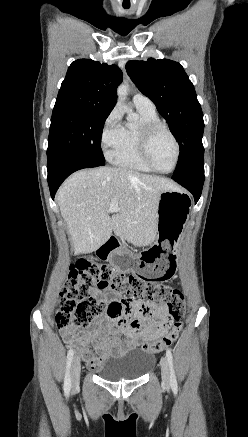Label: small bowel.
Listing matches in <instances>:
<instances>
[{
  "mask_svg": "<svg viewBox=\"0 0 248 437\" xmlns=\"http://www.w3.org/2000/svg\"><path fill=\"white\" fill-rule=\"evenodd\" d=\"M104 291L97 289L94 295L111 303L106 315L100 316L87 330L73 326L60 330L64 341L76 346L93 370L101 368L107 357L137 348L142 342L163 336L169 329L164 304L140 302L129 299L128 294ZM119 334H123L125 339L121 340Z\"/></svg>",
  "mask_w": 248,
  "mask_h": 437,
  "instance_id": "1",
  "label": "small bowel"
}]
</instances>
